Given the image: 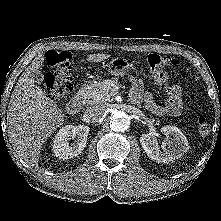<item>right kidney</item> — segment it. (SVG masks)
Listing matches in <instances>:
<instances>
[{
  "mask_svg": "<svg viewBox=\"0 0 221 221\" xmlns=\"http://www.w3.org/2000/svg\"><path fill=\"white\" fill-rule=\"evenodd\" d=\"M90 128L84 125H66L53 138V152L59 159H69L81 154L84 150ZM77 140L70 145V140Z\"/></svg>",
  "mask_w": 221,
  "mask_h": 221,
  "instance_id": "ca27d5eb",
  "label": "right kidney"
}]
</instances>
